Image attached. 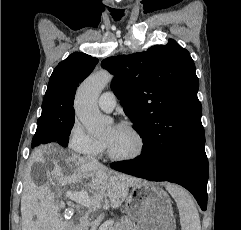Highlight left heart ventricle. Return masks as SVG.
I'll return each instance as SVG.
<instances>
[{"instance_id": "b2bd125f", "label": "left heart ventricle", "mask_w": 241, "mask_h": 230, "mask_svg": "<svg viewBox=\"0 0 241 230\" xmlns=\"http://www.w3.org/2000/svg\"><path fill=\"white\" fill-rule=\"evenodd\" d=\"M112 153L117 156H128L137 149V140L130 130L123 126H111L104 138Z\"/></svg>"}]
</instances>
